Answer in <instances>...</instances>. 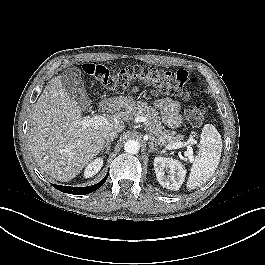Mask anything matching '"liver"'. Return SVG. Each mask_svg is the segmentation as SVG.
I'll use <instances>...</instances> for the list:
<instances>
[{
    "label": "liver",
    "instance_id": "1",
    "mask_svg": "<svg viewBox=\"0 0 265 265\" xmlns=\"http://www.w3.org/2000/svg\"><path fill=\"white\" fill-rule=\"evenodd\" d=\"M125 100H114L115 110L126 109ZM86 108L65 91L61 76L49 81L34 105L29 147L40 169L58 181L72 180L100 153L105 132L124 130L121 113L108 116L104 124L82 128L76 122Z\"/></svg>",
    "mask_w": 265,
    "mask_h": 265
}]
</instances>
